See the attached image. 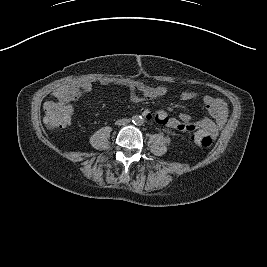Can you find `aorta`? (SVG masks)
<instances>
[{
    "mask_svg": "<svg viewBox=\"0 0 267 267\" xmlns=\"http://www.w3.org/2000/svg\"><path fill=\"white\" fill-rule=\"evenodd\" d=\"M140 121H141L140 118L135 119V122H136V123H139Z\"/></svg>",
    "mask_w": 267,
    "mask_h": 267,
    "instance_id": "762f6f07",
    "label": "aorta"
}]
</instances>
